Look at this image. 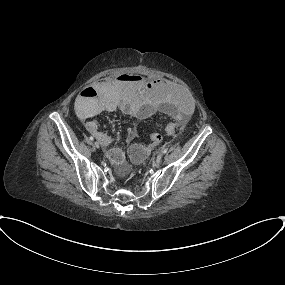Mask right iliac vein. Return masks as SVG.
<instances>
[{
  "instance_id": "obj_1",
  "label": "right iliac vein",
  "mask_w": 285,
  "mask_h": 285,
  "mask_svg": "<svg viewBox=\"0 0 285 285\" xmlns=\"http://www.w3.org/2000/svg\"><path fill=\"white\" fill-rule=\"evenodd\" d=\"M94 146H95L96 148H99V147H100L99 142H98V141H95V142H94Z\"/></svg>"
}]
</instances>
